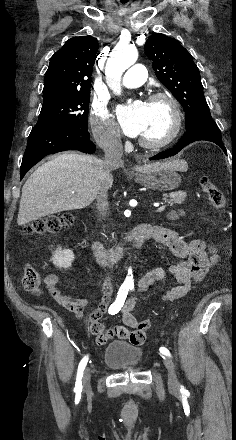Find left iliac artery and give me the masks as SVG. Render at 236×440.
Wrapping results in <instances>:
<instances>
[{
    "label": "left iliac artery",
    "mask_w": 236,
    "mask_h": 440,
    "mask_svg": "<svg viewBox=\"0 0 236 440\" xmlns=\"http://www.w3.org/2000/svg\"><path fill=\"white\" fill-rule=\"evenodd\" d=\"M130 289L133 290V289H134V286H131ZM159 350H160V352H161L162 354H164V355H166V356H169V357L171 356V354H170V352H169V350H168L167 348H165V347H161ZM181 390H184V387H183V386H181Z\"/></svg>",
    "instance_id": "44dca946"
}]
</instances>
